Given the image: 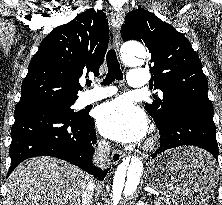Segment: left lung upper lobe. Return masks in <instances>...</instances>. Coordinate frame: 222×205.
Masks as SVG:
<instances>
[{"label": "left lung upper lobe", "instance_id": "left-lung-upper-lobe-1", "mask_svg": "<svg viewBox=\"0 0 222 205\" xmlns=\"http://www.w3.org/2000/svg\"><path fill=\"white\" fill-rule=\"evenodd\" d=\"M121 35L124 41L137 40L149 49L152 87L160 89L163 96L153 94V101L146 103L145 109L158 127L184 106L213 109L201 61L183 34L139 8L126 15Z\"/></svg>", "mask_w": 222, "mask_h": 205}]
</instances>
